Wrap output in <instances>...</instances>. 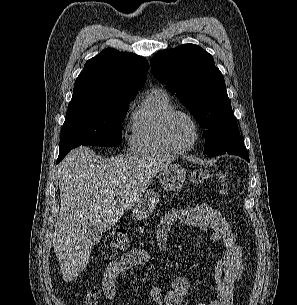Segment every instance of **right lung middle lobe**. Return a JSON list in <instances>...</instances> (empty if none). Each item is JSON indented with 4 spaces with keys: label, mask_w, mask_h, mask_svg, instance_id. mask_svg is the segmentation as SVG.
I'll list each match as a JSON object with an SVG mask.
<instances>
[{
    "label": "right lung middle lobe",
    "mask_w": 297,
    "mask_h": 305,
    "mask_svg": "<svg viewBox=\"0 0 297 305\" xmlns=\"http://www.w3.org/2000/svg\"><path fill=\"white\" fill-rule=\"evenodd\" d=\"M135 96L69 106L60 136V154L80 145L118 146L122 122Z\"/></svg>",
    "instance_id": "dd1d6c3e"
}]
</instances>
